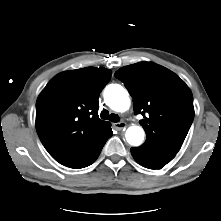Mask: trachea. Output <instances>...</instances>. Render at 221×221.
Wrapping results in <instances>:
<instances>
[{
	"mask_svg": "<svg viewBox=\"0 0 221 221\" xmlns=\"http://www.w3.org/2000/svg\"><path fill=\"white\" fill-rule=\"evenodd\" d=\"M102 119H109L111 122H119L120 118L117 114H109L107 110H103L100 114Z\"/></svg>",
	"mask_w": 221,
	"mask_h": 221,
	"instance_id": "trachea-1",
	"label": "trachea"
}]
</instances>
